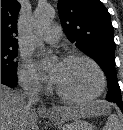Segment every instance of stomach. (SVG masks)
Instances as JSON below:
<instances>
[{"mask_svg":"<svg viewBox=\"0 0 123 130\" xmlns=\"http://www.w3.org/2000/svg\"><path fill=\"white\" fill-rule=\"evenodd\" d=\"M60 130H94L93 126L82 119H75L72 122L59 126Z\"/></svg>","mask_w":123,"mask_h":130,"instance_id":"stomach-1","label":"stomach"}]
</instances>
